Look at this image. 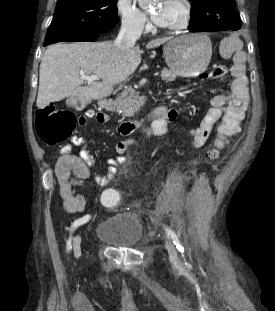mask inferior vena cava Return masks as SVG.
Segmentation results:
<instances>
[{"mask_svg": "<svg viewBox=\"0 0 275 311\" xmlns=\"http://www.w3.org/2000/svg\"><path fill=\"white\" fill-rule=\"evenodd\" d=\"M143 28L144 25L142 23H123L114 45L120 50L132 48L136 40L141 36Z\"/></svg>", "mask_w": 275, "mask_h": 311, "instance_id": "602c4592", "label": "inferior vena cava"}]
</instances>
